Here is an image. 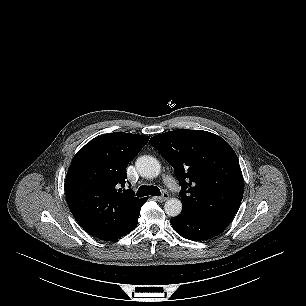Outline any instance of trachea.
Instances as JSON below:
<instances>
[{"label":"trachea","instance_id":"1","mask_svg":"<svg viewBox=\"0 0 306 306\" xmlns=\"http://www.w3.org/2000/svg\"><path fill=\"white\" fill-rule=\"evenodd\" d=\"M160 190L157 186L142 185L139 187L136 196L143 197L147 195L159 196Z\"/></svg>","mask_w":306,"mask_h":306}]
</instances>
